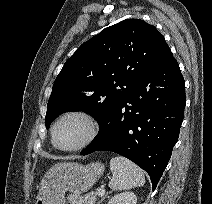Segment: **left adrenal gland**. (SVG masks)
Masks as SVG:
<instances>
[{"instance_id":"obj_1","label":"left adrenal gland","mask_w":212,"mask_h":204,"mask_svg":"<svg viewBox=\"0 0 212 204\" xmlns=\"http://www.w3.org/2000/svg\"><path fill=\"white\" fill-rule=\"evenodd\" d=\"M106 197H107V194L101 199L100 202H102ZM100 202H99V203H100ZM99 203H98V204H99Z\"/></svg>"}]
</instances>
